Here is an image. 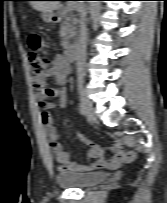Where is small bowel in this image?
<instances>
[{
  "label": "small bowel",
  "instance_id": "obj_1",
  "mask_svg": "<svg viewBox=\"0 0 167 203\" xmlns=\"http://www.w3.org/2000/svg\"><path fill=\"white\" fill-rule=\"evenodd\" d=\"M70 73L71 69L63 55L56 54L51 67L44 73L35 75L31 79L32 87L37 92L38 106L42 111L53 160L60 170L86 172L100 168L116 169L124 162H127V159L122 141L114 136L110 146L102 147L82 134L77 133L78 137L89 146L88 158L92 161L86 163L70 161L69 154L63 150L62 145L58 141L59 135L49 110L56 106L62 108L67 106L68 100L65 86ZM51 77L55 79L59 87L48 86V81ZM50 98L56 99L57 103L48 101ZM107 153L110 155L108 159L105 157Z\"/></svg>",
  "mask_w": 167,
  "mask_h": 203
}]
</instances>
